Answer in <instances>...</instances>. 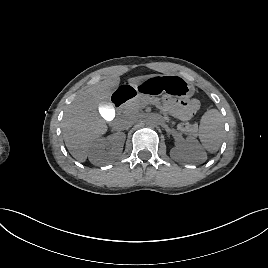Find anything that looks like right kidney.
<instances>
[{"instance_id": "1", "label": "right kidney", "mask_w": 268, "mask_h": 268, "mask_svg": "<svg viewBox=\"0 0 268 268\" xmlns=\"http://www.w3.org/2000/svg\"><path fill=\"white\" fill-rule=\"evenodd\" d=\"M126 136L115 133L108 138L96 139L90 146L88 158L94 165H108L119 158Z\"/></svg>"}]
</instances>
